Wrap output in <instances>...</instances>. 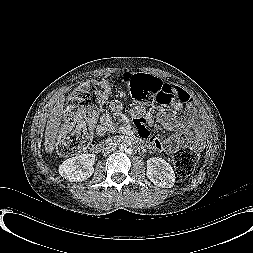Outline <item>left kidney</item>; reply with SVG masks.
<instances>
[{
    "instance_id": "1",
    "label": "left kidney",
    "mask_w": 253,
    "mask_h": 253,
    "mask_svg": "<svg viewBox=\"0 0 253 253\" xmlns=\"http://www.w3.org/2000/svg\"><path fill=\"white\" fill-rule=\"evenodd\" d=\"M148 179L162 188H171L175 183V173L166 160L152 157L147 160Z\"/></svg>"
}]
</instances>
